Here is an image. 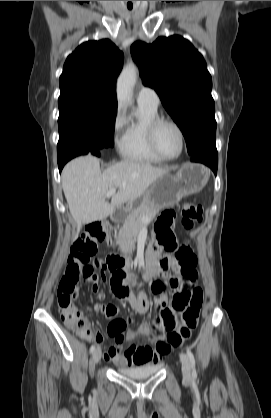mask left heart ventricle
Instances as JSON below:
<instances>
[{
    "label": "left heart ventricle",
    "mask_w": 271,
    "mask_h": 418,
    "mask_svg": "<svg viewBox=\"0 0 271 418\" xmlns=\"http://www.w3.org/2000/svg\"><path fill=\"white\" fill-rule=\"evenodd\" d=\"M157 142L161 151L167 156H175L180 150V137L174 127L162 125L157 134Z\"/></svg>",
    "instance_id": "obj_1"
}]
</instances>
